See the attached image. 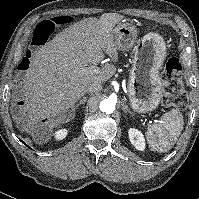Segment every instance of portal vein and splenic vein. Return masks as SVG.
Returning <instances> with one entry per match:
<instances>
[{
    "mask_svg": "<svg viewBox=\"0 0 199 199\" xmlns=\"http://www.w3.org/2000/svg\"><path fill=\"white\" fill-rule=\"evenodd\" d=\"M98 70H99V68L96 67V65H91V66H90V71L96 73V72H98Z\"/></svg>",
    "mask_w": 199,
    "mask_h": 199,
    "instance_id": "obj_1",
    "label": "portal vein and splenic vein"
}]
</instances>
